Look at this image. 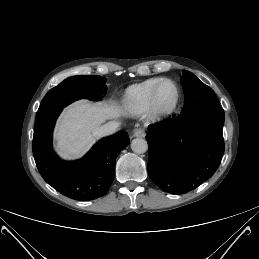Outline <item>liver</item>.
<instances>
[{"instance_id": "1", "label": "liver", "mask_w": 259, "mask_h": 259, "mask_svg": "<svg viewBox=\"0 0 259 259\" xmlns=\"http://www.w3.org/2000/svg\"><path fill=\"white\" fill-rule=\"evenodd\" d=\"M126 112L116 103L87 100L66 107L57 121L54 139L56 150L64 159L82 157L95 143L93 131L108 119H116Z\"/></svg>"}]
</instances>
